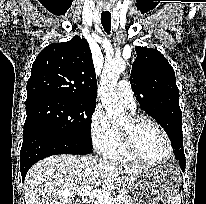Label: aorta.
Here are the masks:
<instances>
[{
    "label": "aorta",
    "mask_w": 206,
    "mask_h": 204,
    "mask_svg": "<svg viewBox=\"0 0 206 204\" xmlns=\"http://www.w3.org/2000/svg\"><path fill=\"white\" fill-rule=\"evenodd\" d=\"M125 69V61L121 58L105 63L99 85V94L102 104L110 119L121 120L126 115V110L119 102L116 93V84L120 74Z\"/></svg>",
    "instance_id": "obj_1"
}]
</instances>
